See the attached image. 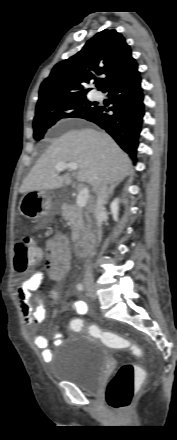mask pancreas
I'll use <instances>...</instances> for the list:
<instances>
[{"mask_svg": "<svg viewBox=\"0 0 177 440\" xmlns=\"http://www.w3.org/2000/svg\"><path fill=\"white\" fill-rule=\"evenodd\" d=\"M61 214L71 224L72 241L75 242L89 233L91 221L87 211L77 206L63 204Z\"/></svg>", "mask_w": 177, "mask_h": 440, "instance_id": "cf45deb5", "label": "pancreas"}]
</instances>
